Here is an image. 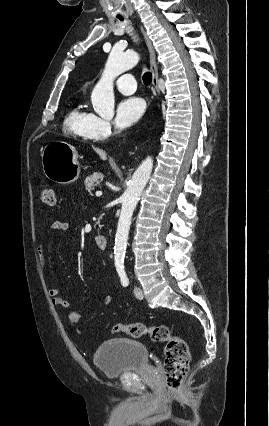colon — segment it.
<instances>
[{"instance_id":"1","label":"colon","mask_w":269,"mask_h":426,"mask_svg":"<svg viewBox=\"0 0 269 426\" xmlns=\"http://www.w3.org/2000/svg\"><path fill=\"white\" fill-rule=\"evenodd\" d=\"M41 201L49 206L55 204V192L50 186L41 189ZM113 333H123L132 337L148 336L153 342L165 344L164 372L166 386L170 391L180 388L183 378L188 373L190 353L186 342L174 335L164 324L145 325L141 323H115L111 327Z\"/></svg>"}]
</instances>
